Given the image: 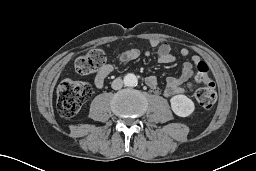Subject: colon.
<instances>
[{
  "label": "colon",
  "instance_id": "colon-1",
  "mask_svg": "<svg viewBox=\"0 0 256 171\" xmlns=\"http://www.w3.org/2000/svg\"><path fill=\"white\" fill-rule=\"evenodd\" d=\"M106 61L105 52L101 49H91L75 61V69L81 75H88L99 70ZM196 80L204 85L196 91V99L204 108H212L217 94L215 84L209 77V68L205 62L197 64ZM92 95V88L84 82L71 78L63 79L57 88V106L65 117L75 115L83 103Z\"/></svg>",
  "mask_w": 256,
  "mask_h": 171
}]
</instances>
